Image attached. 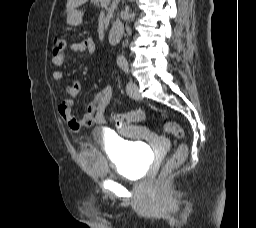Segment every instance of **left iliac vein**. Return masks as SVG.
I'll return each mask as SVG.
<instances>
[{"label": "left iliac vein", "mask_w": 256, "mask_h": 228, "mask_svg": "<svg viewBox=\"0 0 256 228\" xmlns=\"http://www.w3.org/2000/svg\"><path fill=\"white\" fill-rule=\"evenodd\" d=\"M127 94L134 100H139L141 98L139 89L136 83L129 81L126 87Z\"/></svg>", "instance_id": "1"}]
</instances>
